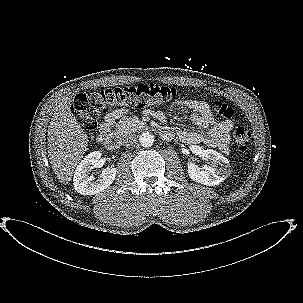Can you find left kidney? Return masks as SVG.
Listing matches in <instances>:
<instances>
[{
	"instance_id": "5707ae66",
	"label": "left kidney",
	"mask_w": 303,
	"mask_h": 303,
	"mask_svg": "<svg viewBox=\"0 0 303 303\" xmlns=\"http://www.w3.org/2000/svg\"><path fill=\"white\" fill-rule=\"evenodd\" d=\"M190 150L203 160L211 162L210 166L204 168H200L192 162L188 163V175L192 180L204 185L215 186L229 176L231 172L229 161L222 154L212 149L205 150L197 145L190 146Z\"/></svg>"
}]
</instances>
